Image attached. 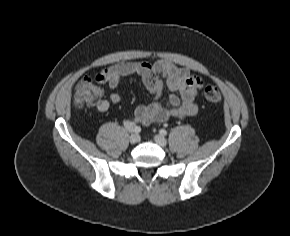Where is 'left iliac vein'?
I'll list each match as a JSON object with an SVG mask.
<instances>
[{"instance_id": "left-iliac-vein-1", "label": "left iliac vein", "mask_w": 290, "mask_h": 236, "mask_svg": "<svg viewBox=\"0 0 290 236\" xmlns=\"http://www.w3.org/2000/svg\"><path fill=\"white\" fill-rule=\"evenodd\" d=\"M154 141L161 147H165L167 145V140L162 135H155Z\"/></svg>"}]
</instances>
